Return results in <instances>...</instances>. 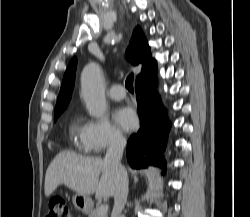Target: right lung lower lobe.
<instances>
[{
    "label": "right lung lower lobe",
    "instance_id": "98d812e1",
    "mask_svg": "<svg viewBox=\"0 0 250 217\" xmlns=\"http://www.w3.org/2000/svg\"><path fill=\"white\" fill-rule=\"evenodd\" d=\"M155 85L156 63L136 80L140 129L127 142V159L132 168L156 165L166 169L163 153L170 124Z\"/></svg>",
    "mask_w": 250,
    "mask_h": 217
}]
</instances>
